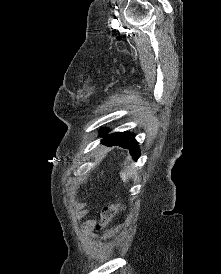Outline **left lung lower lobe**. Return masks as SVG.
I'll return each instance as SVG.
<instances>
[{"label": "left lung lower lobe", "instance_id": "obj_1", "mask_svg": "<svg viewBox=\"0 0 221 274\" xmlns=\"http://www.w3.org/2000/svg\"><path fill=\"white\" fill-rule=\"evenodd\" d=\"M105 134L106 131L104 130L102 132V136H104ZM102 143L106 146L117 145L123 147L124 149H128L130 151L132 158L135 160H137V158L140 156V149L133 134L127 132L113 133L111 135L105 136Z\"/></svg>", "mask_w": 221, "mask_h": 274}]
</instances>
